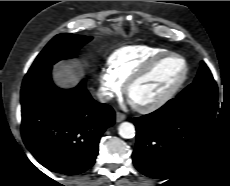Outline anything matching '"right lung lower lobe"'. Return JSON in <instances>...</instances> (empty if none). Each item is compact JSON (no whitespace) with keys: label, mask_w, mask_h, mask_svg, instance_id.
I'll list each match as a JSON object with an SVG mask.
<instances>
[{"label":"right lung lower lobe","mask_w":230,"mask_h":186,"mask_svg":"<svg viewBox=\"0 0 230 186\" xmlns=\"http://www.w3.org/2000/svg\"><path fill=\"white\" fill-rule=\"evenodd\" d=\"M51 68L27 73L21 89V133L28 150L47 169L66 175L90 168L114 110L96 102L85 80L73 89L57 88Z\"/></svg>","instance_id":"right-lung-lower-lobe-1"}]
</instances>
